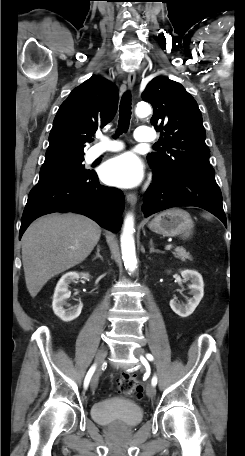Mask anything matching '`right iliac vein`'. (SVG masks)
Segmentation results:
<instances>
[{
	"mask_svg": "<svg viewBox=\"0 0 245 456\" xmlns=\"http://www.w3.org/2000/svg\"><path fill=\"white\" fill-rule=\"evenodd\" d=\"M106 350L105 348H101L99 350V352L97 353V356H96V365H97V370L95 371L92 379H91V388L92 390H95L97 385H98V379H99V367L101 366V364L103 363L105 357H106Z\"/></svg>",
	"mask_w": 245,
	"mask_h": 456,
	"instance_id": "63e3f726",
	"label": "right iliac vein"
}]
</instances>
